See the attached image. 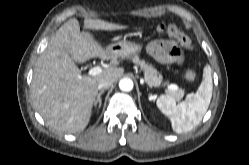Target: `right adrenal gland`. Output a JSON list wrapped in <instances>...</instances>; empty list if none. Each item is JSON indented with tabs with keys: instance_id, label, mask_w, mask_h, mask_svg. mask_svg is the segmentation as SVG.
I'll return each instance as SVG.
<instances>
[{
	"instance_id": "1",
	"label": "right adrenal gland",
	"mask_w": 249,
	"mask_h": 165,
	"mask_svg": "<svg viewBox=\"0 0 249 165\" xmlns=\"http://www.w3.org/2000/svg\"><path fill=\"white\" fill-rule=\"evenodd\" d=\"M103 93H104V90H101V91L99 92V94H98V96H97L95 102H94V106H95V107H98V109H99V108L101 107V105H102L101 95H102Z\"/></svg>"
}]
</instances>
